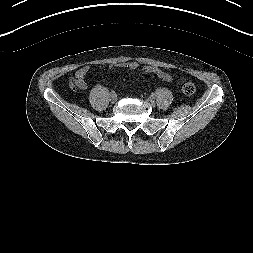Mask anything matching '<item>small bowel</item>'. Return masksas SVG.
Returning a JSON list of instances; mask_svg holds the SVG:
<instances>
[{
	"label": "small bowel",
	"instance_id": "obj_1",
	"mask_svg": "<svg viewBox=\"0 0 253 253\" xmlns=\"http://www.w3.org/2000/svg\"><path fill=\"white\" fill-rule=\"evenodd\" d=\"M138 66H139L138 63H136V62H128V63H124V64L111 65L110 69H115L118 67H126V68H129L130 70H136L138 68ZM89 71H90L89 66H83L80 69H78L75 73V85L80 90H85L87 88L86 77H87ZM144 71L147 74H152V75L158 76L166 81L172 80V76L168 72H166L160 68H156V67H152V66H145Z\"/></svg>",
	"mask_w": 253,
	"mask_h": 253
}]
</instances>
